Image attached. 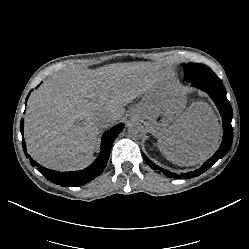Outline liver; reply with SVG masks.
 Here are the masks:
<instances>
[{
    "instance_id": "6515ba94",
    "label": "liver",
    "mask_w": 249,
    "mask_h": 249,
    "mask_svg": "<svg viewBox=\"0 0 249 249\" xmlns=\"http://www.w3.org/2000/svg\"><path fill=\"white\" fill-rule=\"evenodd\" d=\"M171 81L145 65H110L75 70L48 78L27 104L25 139L28 153L44 166L79 169L92 160L100 130L97 119L106 114L110 125L124 116L133 100L132 116L167 146L174 163L193 165L217 148L221 127L211 108L202 102L184 111L185 99L172 100ZM162 117V120H159ZM169 121L173 124L167 127Z\"/></svg>"
}]
</instances>
